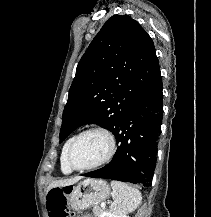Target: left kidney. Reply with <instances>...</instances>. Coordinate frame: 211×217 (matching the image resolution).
I'll return each mask as SVG.
<instances>
[{"instance_id":"left-kidney-1","label":"left kidney","mask_w":211,"mask_h":217,"mask_svg":"<svg viewBox=\"0 0 211 217\" xmlns=\"http://www.w3.org/2000/svg\"><path fill=\"white\" fill-rule=\"evenodd\" d=\"M100 217H119V216H117V215H114V214H112V213H110V212H104V213H102L101 214V216ZM122 217H129V216H122Z\"/></svg>"}]
</instances>
